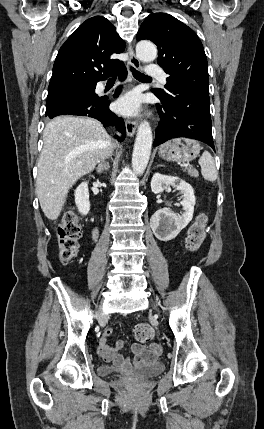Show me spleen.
I'll use <instances>...</instances> for the list:
<instances>
[{
    "mask_svg": "<svg viewBox=\"0 0 264 429\" xmlns=\"http://www.w3.org/2000/svg\"><path fill=\"white\" fill-rule=\"evenodd\" d=\"M201 173L205 180L214 182L218 178V172L215 167L213 157L208 151H204L199 159Z\"/></svg>",
    "mask_w": 264,
    "mask_h": 429,
    "instance_id": "obj_1",
    "label": "spleen"
}]
</instances>
